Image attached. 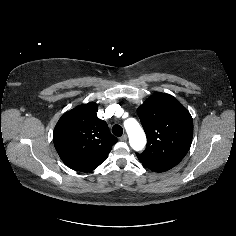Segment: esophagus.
<instances>
[{
  "label": "esophagus",
  "instance_id": "obj_1",
  "mask_svg": "<svg viewBox=\"0 0 236 236\" xmlns=\"http://www.w3.org/2000/svg\"><path fill=\"white\" fill-rule=\"evenodd\" d=\"M120 140H121V141H126V140H127V135H126V134L122 135V136L120 137Z\"/></svg>",
  "mask_w": 236,
  "mask_h": 236
}]
</instances>
